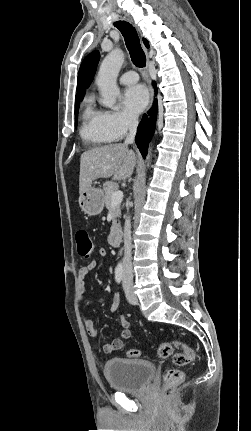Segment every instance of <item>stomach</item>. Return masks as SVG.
I'll return each instance as SVG.
<instances>
[{
	"mask_svg": "<svg viewBox=\"0 0 251 431\" xmlns=\"http://www.w3.org/2000/svg\"><path fill=\"white\" fill-rule=\"evenodd\" d=\"M104 193L101 189L88 186L79 197L81 210L89 216H95L102 212L104 208Z\"/></svg>",
	"mask_w": 251,
	"mask_h": 431,
	"instance_id": "stomach-1",
	"label": "stomach"
}]
</instances>
